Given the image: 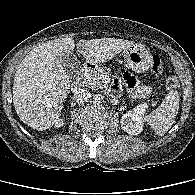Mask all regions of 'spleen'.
<instances>
[{
	"label": "spleen",
	"mask_w": 195,
	"mask_h": 195,
	"mask_svg": "<svg viewBox=\"0 0 195 195\" xmlns=\"http://www.w3.org/2000/svg\"><path fill=\"white\" fill-rule=\"evenodd\" d=\"M179 100L178 91L170 90L161 105L144 117L156 135L163 136L175 122L179 110Z\"/></svg>",
	"instance_id": "obj_1"
}]
</instances>
